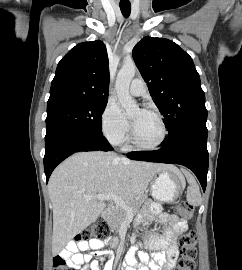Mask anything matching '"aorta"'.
<instances>
[{"instance_id":"aorta-1","label":"aorta","mask_w":242,"mask_h":270,"mask_svg":"<svg viewBox=\"0 0 242 270\" xmlns=\"http://www.w3.org/2000/svg\"><path fill=\"white\" fill-rule=\"evenodd\" d=\"M136 73V65L134 62L124 63L118 72L115 84V90L118 101L126 115H132L139 110L136 102L129 93V87Z\"/></svg>"}]
</instances>
